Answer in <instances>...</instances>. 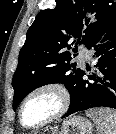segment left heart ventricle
<instances>
[{"label": "left heart ventricle", "instance_id": "b2bd125f", "mask_svg": "<svg viewBox=\"0 0 116 134\" xmlns=\"http://www.w3.org/2000/svg\"><path fill=\"white\" fill-rule=\"evenodd\" d=\"M58 105V98L54 93H38L30 98L24 107V122L28 125H36L56 112Z\"/></svg>", "mask_w": 116, "mask_h": 134}]
</instances>
